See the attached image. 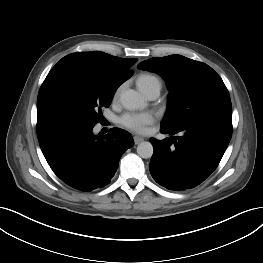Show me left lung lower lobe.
I'll use <instances>...</instances> for the list:
<instances>
[{"instance_id": "left-lung-lower-lobe-1", "label": "left lung lower lobe", "mask_w": 263, "mask_h": 263, "mask_svg": "<svg viewBox=\"0 0 263 263\" xmlns=\"http://www.w3.org/2000/svg\"><path fill=\"white\" fill-rule=\"evenodd\" d=\"M171 138L151 139L154 153L150 173L161 186L186 190L202 183L218 166L232 136V121L207 117L174 129Z\"/></svg>"}]
</instances>
